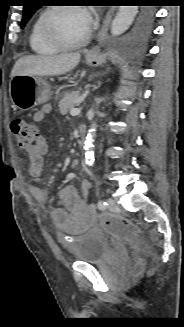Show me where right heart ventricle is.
<instances>
[{"mask_svg": "<svg viewBox=\"0 0 184 327\" xmlns=\"http://www.w3.org/2000/svg\"><path fill=\"white\" fill-rule=\"evenodd\" d=\"M46 12L47 10L42 11L33 21L29 33V44L36 54L54 55L59 53L61 49L53 45L43 33L42 22Z\"/></svg>", "mask_w": 184, "mask_h": 327, "instance_id": "1", "label": "right heart ventricle"}]
</instances>
